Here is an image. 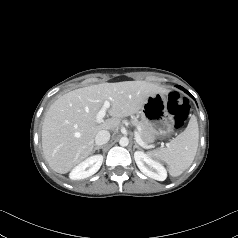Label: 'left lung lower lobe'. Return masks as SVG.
<instances>
[{"label": "left lung lower lobe", "instance_id": "0a47b994", "mask_svg": "<svg viewBox=\"0 0 238 238\" xmlns=\"http://www.w3.org/2000/svg\"><path fill=\"white\" fill-rule=\"evenodd\" d=\"M177 87H179L180 89H182L183 91H185L187 94H189L192 97V95L187 90H185L183 87H181L179 85Z\"/></svg>", "mask_w": 238, "mask_h": 238}]
</instances>
